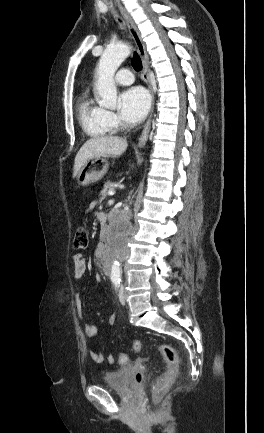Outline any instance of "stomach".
I'll list each match as a JSON object with an SVG mask.
<instances>
[{
	"label": "stomach",
	"instance_id": "obj_1",
	"mask_svg": "<svg viewBox=\"0 0 264 433\" xmlns=\"http://www.w3.org/2000/svg\"><path fill=\"white\" fill-rule=\"evenodd\" d=\"M109 168L108 160L102 157L89 159L77 175V183L80 186H87L103 178Z\"/></svg>",
	"mask_w": 264,
	"mask_h": 433
}]
</instances>
